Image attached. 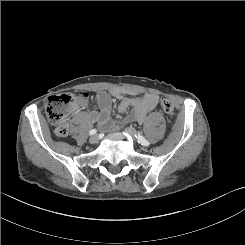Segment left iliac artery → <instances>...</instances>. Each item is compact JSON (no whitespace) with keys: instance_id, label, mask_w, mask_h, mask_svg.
<instances>
[{"instance_id":"obj_1","label":"left iliac artery","mask_w":245,"mask_h":245,"mask_svg":"<svg viewBox=\"0 0 245 245\" xmlns=\"http://www.w3.org/2000/svg\"><path fill=\"white\" fill-rule=\"evenodd\" d=\"M136 138L139 143H141L144 146H149L150 143L147 141L140 133L136 134Z\"/></svg>"}]
</instances>
